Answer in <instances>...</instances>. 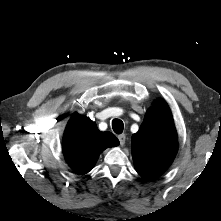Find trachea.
<instances>
[{"mask_svg": "<svg viewBox=\"0 0 221 221\" xmlns=\"http://www.w3.org/2000/svg\"><path fill=\"white\" fill-rule=\"evenodd\" d=\"M112 128L116 134H121L124 129V124L120 119H113Z\"/></svg>", "mask_w": 221, "mask_h": 221, "instance_id": "trachea-1", "label": "trachea"}]
</instances>
